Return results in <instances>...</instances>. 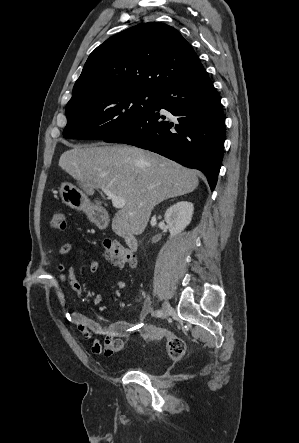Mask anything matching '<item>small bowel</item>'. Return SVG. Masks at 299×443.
<instances>
[{"instance_id":"c3829d8e","label":"small bowel","mask_w":299,"mask_h":443,"mask_svg":"<svg viewBox=\"0 0 299 443\" xmlns=\"http://www.w3.org/2000/svg\"><path fill=\"white\" fill-rule=\"evenodd\" d=\"M71 244L62 245L58 254L65 256L69 253ZM83 254L88 258V268L90 272L96 273L99 270V262L89 256L87 253ZM58 283L55 286L56 295L59 303L63 306L67 305V298L65 295V286H69L76 298L82 296V286L77 280L75 270L72 266L65 263H60L57 267ZM151 312L150 301L147 300L142 308L139 321L136 324H131L125 321H112L108 324L102 325L98 321L87 317L79 311L71 309L70 316L81 338L90 343L91 351L96 355H103L105 357H112L116 353L123 351L124 341L122 337H126L133 333H138L139 328L146 316ZM96 336H103L104 341L101 342Z\"/></svg>"}]
</instances>
